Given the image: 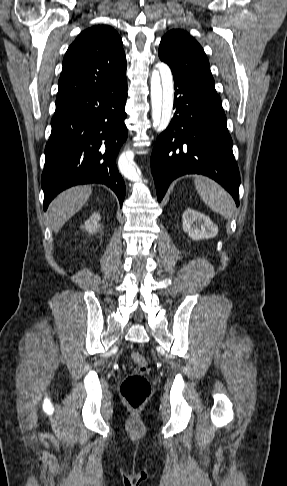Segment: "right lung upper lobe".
I'll return each mask as SVG.
<instances>
[{
	"instance_id": "cb5924a9",
	"label": "right lung upper lobe",
	"mask_w": 287,
	"mask_h": 486,
	"mask_svg": "<svg viewBox=\"0 0 287 486\" xmlns=\"http://www.w3.org/2000/svg\"><path fill=\"white\" fill-rule=\"evenodd\" d=\"M126 67L122 39L112 27L93 26L84 30L64 56L56 108L123 82Z\"/></svg>"
}]
</instances>
